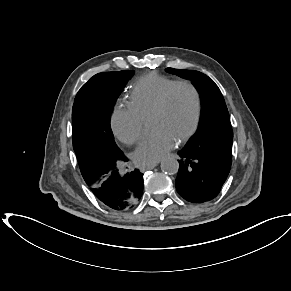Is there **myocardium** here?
I'll list each match as a JSON object with an SVG mask.
<instances>
[{
  "label": "myocardium",
  "mask_w": 291,
  "mask_h": 291,
  "mask_svg": "<svg viewBox=\"0 0 291 291\" xmlns=\"http://www.w3.org/2000/svg\"><path fill=\"white\" fill-rule=\"evenodd\" d=\"M180 87H185L188 90H190V92L193 95L194 103H195L194 119L191 126L184 133L179 135V137L176 139L178 142H184L188 140L189 138H191L196 133V131L199 128L201 117H202L201 94L198 88L191 81L179 80V81H175L171 86H169L166 89V91L163 93L160 103L158 104L156 109L152 112L150 118L156 117V116H162L168 112L170 108V104H171L172 95L174 91Z\"/></svg>",
  "instance_id": "obj_1"
}]
</instances>
